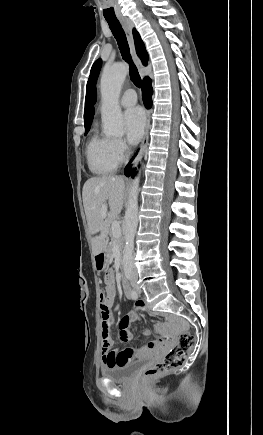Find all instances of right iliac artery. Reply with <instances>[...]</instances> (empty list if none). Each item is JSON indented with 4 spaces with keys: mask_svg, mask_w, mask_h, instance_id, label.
Instances as JSON below:
<instances>
[{
    "mask_svg": "<svg viewBox=\"0 0 263 435\" xmlns=\"http://www.w3.org/2000/svg\"><path fill=\"white\" fill-rule=\"evenodd\" d=\"M127 276L130 277V271H127ZM129 297L133 300H136L138 298V295L133 289H131L129 293Z\"/></svg>",
    "mask_w": 263,
    "mask_h": 435,
    "instance_id": "right-iliac-artery-1",
    "label": "right iliac artery"
}]
</instances>
